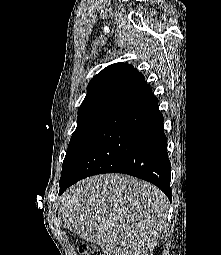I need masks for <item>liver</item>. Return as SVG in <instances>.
<instances>
[{
  "label": "liver",
  "instance_id": "obj_1",
  "mask_svg": "<svg viewBox=\"0 0 221 255\" xmlns=\"http://www.w3.org/2000/svg\"><path fill=\"white\" fill-rule=\"evenodd\" d=\"M60 200L64 227L104 255H151L168 213L159 188L123 174L86 178Z\"/></svg>",
  "mask_w": 221,
  "mask_h": 255
}]
</instances>
